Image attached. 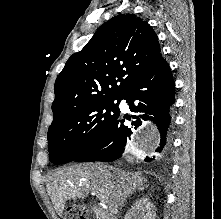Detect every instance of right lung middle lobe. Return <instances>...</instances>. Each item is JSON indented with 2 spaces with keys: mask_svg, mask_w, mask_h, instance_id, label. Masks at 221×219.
I'll use <instances>...</instances> for the list:
<instances>
[{
  "mask_svg": "<svg viewBox=\"0 0 221 219\" xmlns=\"http://www.w3.org/2000/svg\"><path fill=\"white\" fill-rule=\"evenodd\" d=\"M116 100L120 102L104 99L85 104L52 122L48 130L50 162H71L89 151L120 115Z\"/></svg>",
  "mask_w": 221,
  "mask_h": 219,
  "instance_id": "dd1d6c3e",
  "label": "right lung middle lobe"
}]
</instances>
